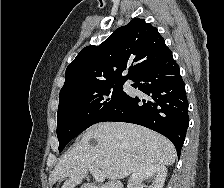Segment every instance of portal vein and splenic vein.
Returning <instances> with one entry per match:
<instances>
[{
  "instance_id": "obj_1",
  "label": "portal vein and splenic vein",
  "mask_w": 224,
  "mask_h": 188,
  "mask_svg": "<svg viewBox=\"0 0 224 188\" xmlns=\"http://www.w3.org/2000/svg\"><path fill=\"white\" fill-rule=\"evenodd\" d=\"M89 171L92 173L93 177L97 182H104L105 181V175L102 173L101 170L97 168H89Z\"/></svg>"
}]
</instances>
